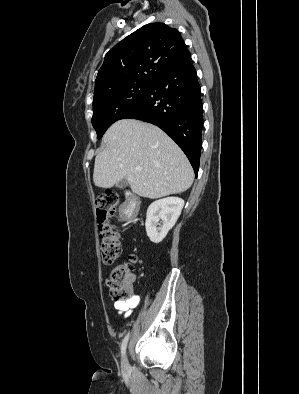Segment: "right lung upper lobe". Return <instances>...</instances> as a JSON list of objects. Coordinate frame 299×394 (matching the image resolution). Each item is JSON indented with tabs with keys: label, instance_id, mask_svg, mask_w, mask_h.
Instances as JSON below:
<instances>
[{
	"label": "right lung upper lobe",
	"instance_id": "cb5924a9",
	"mask_svg": "<svg viewBox=\"0 0 299 394\" xmlns=\"http://www.w3.org/2000/svg\"><path fill=\"white\" fill-rule=\"evenodd\" d=\"M188 54L176 29L159 22L146 24L105 55L96 77L94 95L128 83H152Z\"/></svg>",
	"mask_w": 299,
	"mask_h": 394
}]
</instances>
